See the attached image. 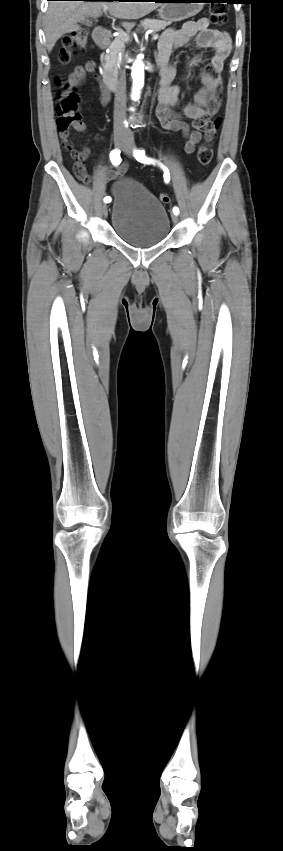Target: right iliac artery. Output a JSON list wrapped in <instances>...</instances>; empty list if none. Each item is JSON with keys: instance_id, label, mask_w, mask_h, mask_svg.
I'll return each mask as SVG.
<instances>
[{"instance_id": "1", "label": "right iliac artery", "mask_w": 283, "mask_h": 851, "mask_svg": "<svg viewBox=\"0 0 283 851\" xmlns=\"http://www.w3.org/2000/svg\"><path fill=\"white\" fill-rule=\"evenodd\" d=\"M110 160L114 166H118L121 163L120 151L114 149L110 153ZM111 201V197L106 196L104 198V202L109 203Z\"/></svg>"}]
</instances>
